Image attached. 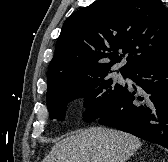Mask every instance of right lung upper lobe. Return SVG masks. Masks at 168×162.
<instances>
[{"label":"right lung upper lobe","mask_w":168,"mask_h":162,"mask_svg":"<svg viewBox=\"0 0 168 162\" xmlns=\"http://www.w3.org/2000/svg\"><path fill=\"white\" fill-rule=\"evenodd\" d=\"M166 54L168 9L161 0H98L64 22L48 67V87L109 72L124 57L120 72L128 74Z\"/></svg>","instance_id":"obj_1"}]
</instances>
